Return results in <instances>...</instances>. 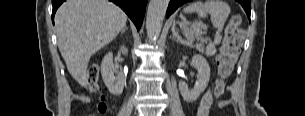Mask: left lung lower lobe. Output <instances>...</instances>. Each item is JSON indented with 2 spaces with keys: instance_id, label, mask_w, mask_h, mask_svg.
I'll return each instance as SVG.
<instances>
[{
  "instance_id": "left-lung-lower-lobe-1",
  "label": "left lung lower lobe",
  "mask_w": 305,
  "mask_h": 116,
  "mask_svg": "<svg viewBox=\"0 0 305 116\" xmlns=\"http://www.w3.org/2000/svg\"><path fill=\"white\" fill-rule=\"evenodd\" d=\"M189 1L191 0H170L166 17H169L179 6ZM238 2L243 6L248 17L250 18L251 0H239Z\"/></svg>"
}]
</instances>
